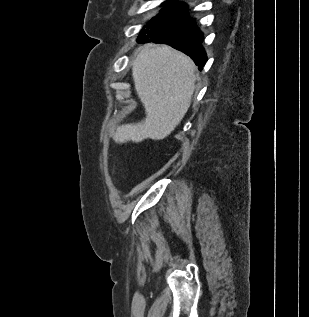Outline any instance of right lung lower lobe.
Wrapping results in <instances>:
<instances>
[{
    "mask_svg": "<svg viewBox=\"0 0 309 317\" xmlns=\"http://www.w3.org/2000/svg\"><path fill=\"white\" fill-rule=\"evenodd\" d=\"M145 28L138 36V43L168 44L190 56L202 70L207 61L202 47L203 33L195 25V19L187 15V5L178 3L166 6Z\"/></svg>",
    "mask_w": 309,
    "mask_h": 317,
    "instance_id": "98d812e1",
    "label": "right lung lower lobe"
}]
</instances>
